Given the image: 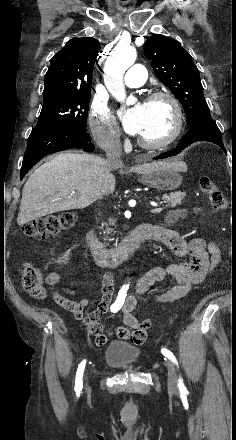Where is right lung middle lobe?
<instances>
[{"label":"right lung middle lobe","instance_id":"dd1d6c3e","mask_svg":"<svg viewBox=\"0 0 236 440\" xmlns=\"http://www.w3.org/2000/svg\"><path fill=\"white\" fill-rule=\"evenodd\" d=\"M90 93L44 103L35 128H75L86 130Z\"/></svg>","mask_w":236,"mask_h":440}]
</instances>
